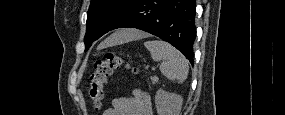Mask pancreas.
<instances>
[{
    "mask_svg": "<svg viewBox=\"0 0 285 115\" xmlns=\"http://www.w3.org/2000/svg\"><path fill=\"white\" fill-rule=\"evenodd\" d=\"M151 80H152V83L155 84L158 82V77L157 76H151Z\"/></svg>",
    "mask_w": 285,
    "mask_h": 115,
    "instance_id": "pancreas-1",
    "label": "pancreas"
}]
</instances>
